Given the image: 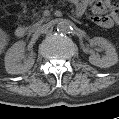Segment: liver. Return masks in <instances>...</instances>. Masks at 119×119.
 <instances>
[{
    "label": "liver",
    "instance_id": "1",
    "mask_svg": "<svg viewBox=\"0 0 119 119\" xmlns=\"http://www.w3.org/2000/svg\"><path fill=\"white\" fill-rule=\"evenodd\" d=\"M6 45V38L2 34V30L0 29V54L2 53V50L4 49Z\"/></svg>",
    "mask_w": 119,
    "mask_h": 119
}]
</instances>
